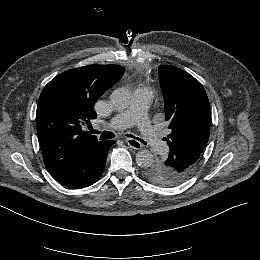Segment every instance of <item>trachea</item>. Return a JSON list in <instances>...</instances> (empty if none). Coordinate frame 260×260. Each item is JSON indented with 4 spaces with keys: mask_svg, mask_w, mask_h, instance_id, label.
I'll return each instance as SVG.
<instances>
[{
    "mask_svg": "<svg viewBox=\"0 0 260 260\" xmlns=\"http://www.w3.org/2000/svg\"><path fill=\"white\" fill-rule=\"evenodd\" d=\"M90 130H91L92 132H94V130H92V128H90ZM126 136L129 137V138L136 139V140L140 141L141 143H143V144H145V145L148 144L145 140H143V139H141V138H139V137H135V136H133V135H131V134H127ZM114 137H115V135H114L113 133H111V132H109V131H104V132L100 135V140L112 139V138H114Z\"/></svg>",
    "mask_w": 260,
    "mask_h": 260,
    "instance_id": "3493384b",
    "label": "trachea"
}]
</instances>
